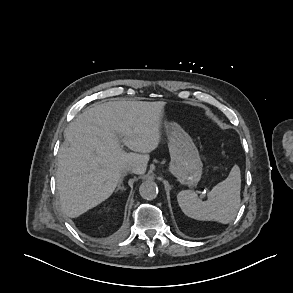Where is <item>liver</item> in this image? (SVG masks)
<instances>
[{
    "instance_id": "obj_1",
    "label": "liver",
    "mask_w": 293,
    "mask_h": 293,
    "mask_svg": "<svg viewBox=\"0 0 293 293\" xmlns=\"http://www.w3.org/2000/svg\"><path fill=\"white\" fill-rule=\"evenodd\" d=\"M165 103L112 101L85 109L66 128L68 146L58 153L56 173L61 209L71 218L96 207L114 192L122 170L146 172L160 142ZM122 144L131 151L123 150Z\"/></svg>"
}]
</instances>
